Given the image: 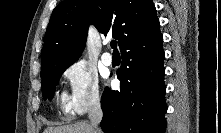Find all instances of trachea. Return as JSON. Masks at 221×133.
Wrapping results in <instances>:
<instances>
[{"label": "trachea", "instance_id": "obj_1", "mask_svg": "<svg viewBox=\"0 0 221 133\" xmlns=\"http://www.w3.org/2000/svg\"><path fill=\"white\" fill-rule=\"evenodd\" d=\"M110 46H111L112 49H114V52H118V50H117V42L115 40H112L110 42Z\"/></svg>", "mask_w": 221, "mask_h": 133}]
</instances>
